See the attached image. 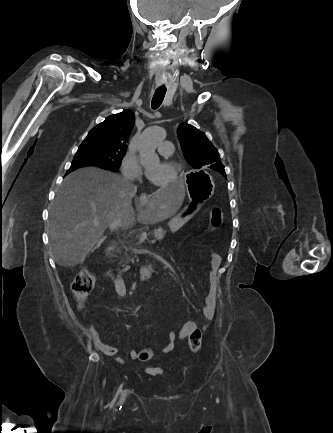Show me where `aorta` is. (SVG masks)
Returning a JSON list of instances; mask_svg holds the SVG:
<instances>
[{
    "label": "aorta",
    "mask_w": 333,
    "mask_h": 433,
    "mask_svg": "<svg viewBox=\"0 0 333 433\" xmlns=\"http://www.w3.org/2000/svg\"><path fill=\"white\" fill-rule=\"evenodd\" d=\"M166 139V131L162 127H149L144 130L139 147L140 163L145 166L158 165L160 160L155 150L159 143Z\"/></svg>",
    "instance_id": "1"
}]
</instances>
